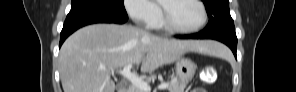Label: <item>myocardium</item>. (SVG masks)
Returning <instances> with one entry per match:
<instances>
[{
	"label": "myocardium",
	"instance_id": "myocardium-1",
	"mask_svg": "<svg viewBox=\"0 0 296 92\" xmlns=\"http://www.w3.org/2000/svg\"><path fill=\"white\" fill-rule=\"evenodd\" d=\"M174 1H179V0H174ZM174 1H162L161 2L162 22L168 30L176 32V33H181V34H192V33H196L198 31H200L206 25L207 19H208V14H207V10H206L204 3L200 0H191V1L195 2L201 9V13H202L201 22L196 27L191 28V29H182V28L176 26L171 21V19L169 17V13H168V5Z\"/></svg>",
	"mask_w": 296,
	"mask_h": 92
}]
</instances>
